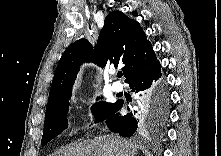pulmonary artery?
<instances>
[{
    "mask_svg": "<svg viewBox=\"0 0 221 156\" xmlns=\"http://www.w3.org/2000/svg\"><path fill=\"white\" fill-rule=\"evenodd\" d=\"M113 91L120 92L123 90V85L120 82H114L112 84Z\"/></svg>",
    "mask_w": 221,
    "mask_h": 156,
    "instance_id": "1",
    "label": "pulmonary artery"
}]
</instances>
